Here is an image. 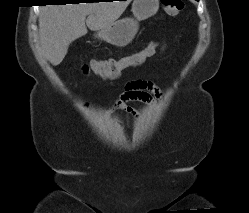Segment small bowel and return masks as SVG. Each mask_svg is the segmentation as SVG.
I'll return each instance as SVG.
<instances>
[{
    "instance_id": "small-bowel-1",
    "label": "small bowel",
    "mask_w": 249,
    "mask_h": 213,
    "mask_svg": "<svg viewBox=\"0 0 249 213\" xmlns=\"http://www.w3.org/2000/svg\"><path fill=\"white\" fill-rule=\"evenodd\" d=\"M164 51V46L161 48ZM130 55L125 58H129ZM145 60V59H144ZM140 60L133 62L129 67H135L144 62ZM162 93L160 89L153 83L145 80H134L130 81L125 85L124 91L120 94L119 98L110 107L109 113L115 110H122L134 119L139 118L137 110L129 105V102L136 101L147 106L153 107L155 105V100L161 99Z\"/></svg>"
}]
</instances>
